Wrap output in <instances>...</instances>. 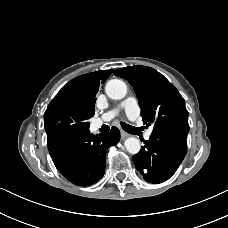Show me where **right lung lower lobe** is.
<instances>
[{
    "instance_id": "98d812e1",
    "label": "right lung lower lobe",
    "mask_w": 228,
    "mask_h": 228,
    "mask_svg": "<svg viewBox=\"0 0 228 228\" xmlns=\"http://www.w3.org/2000/svg\"><path fill=\"white\" fill-rule=\"evenodd\" d=\"M119 140V129L112 127L109 133L99 136L90 134L88 129L47 144L58 171L75 185L89 186L104 175L106 150Z\"/></svg>"
}]
</instances>
